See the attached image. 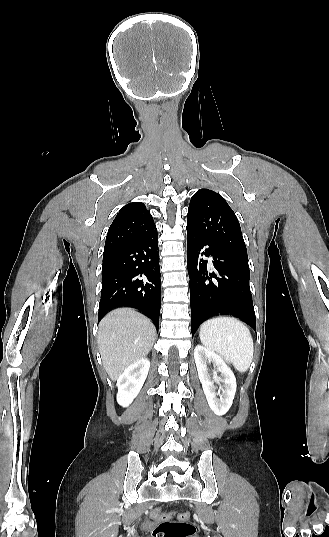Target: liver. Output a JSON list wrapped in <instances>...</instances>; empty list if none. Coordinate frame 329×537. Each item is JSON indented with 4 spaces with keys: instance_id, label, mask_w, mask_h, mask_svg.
I'll return each instance as SVG.
<instances>
[{
    "instance_id": "1",
    "label": "liver",
    "mask_w": 329,
    "mask_h": 537,
    "mask_svg": "<svg viewBox=\"0 0 329 537\" xmlns=\"http://www.w3.org/2000/svg\"><path fill=\"white\" fill-rule=\"evenodd\" d=\"M155 336L153 323L130 308L115 309L101 320L98 348L112 381H116L129 365L150 352Z\"/></svg>"
}]
</instances>
